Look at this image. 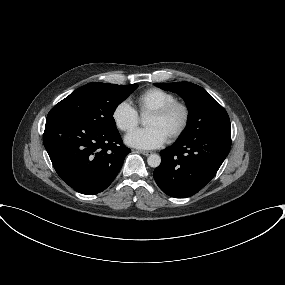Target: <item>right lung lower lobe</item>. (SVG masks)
<instances>
[{"mask_svg":"<svg viewBox=\"0 0 285 285\" xmlns=\"http://www.w3.org/2000/svg\"><path fill=\"white\" fill-rule=\"evenodd\" d=\"M43 143L60 178L86 195L105 190L131 152L118 130H98L61 112H49Z\"/></svg>","mask_w":285,"mask_h":285,"instance_id":"right-lung-lower-lobe-1","label":"right lung lower lobe"}]
</instances>
